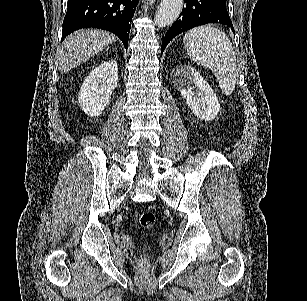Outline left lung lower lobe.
Returning a JSON list of instances; mask_svg holds the SVG:
<instances>
[{
    "instance_id": "0a47b994",
    "label": "left lung lower lobe",
    "mask_w": 307,
    "mask_h": 301,
    "mask_svg": "<svg viewBox=\"0 0 307 301\" xmlns=\"http://www.w3.org/2000/svg\"><path fill=\"white\" fill-rule=\"evenodd\" d=\"M185 6L176 22L167 31L161 46V54L176 35L206 23H221L231 27L232 22L226 10V0H184Z\"/></svg>"
}]
</instances>
